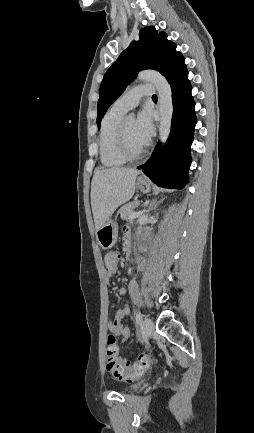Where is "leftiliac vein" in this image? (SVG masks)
<instances>
[{"label":"left iliac vein","mask_w":254,"mask_h":433,"mask_svg":"<svg viewBox=\"0 0 254 433\" xmlns=\"http://www.w3.org/2000/svg\"><path fill=\"white\" fill-rule=\"evenodd\" d=\"M143 325L146 336L150 337L154 331V322L149 317H145Z\"/></svg>","instance_id":"1"}]
</instances>
